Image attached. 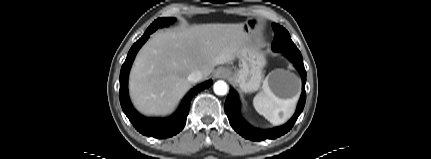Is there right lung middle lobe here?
<instances>
[{
  "label": "right lung middle lobe",
  "instance_id": "1",
  "mask_svg": "<svg viewBox=\"0 0 431 159\" xmlns=\"http://www.w3.org/2000/svg\"><path fill=\"white\" fill-rule=\"evenodd\" d=\"M174 20H175V18H158L149 26L148 29L156 30L159 27H163V26L170 24Z\"/></svg>",
  "mask_w": 431,
  "mask_h": 159
}]
</instances>
